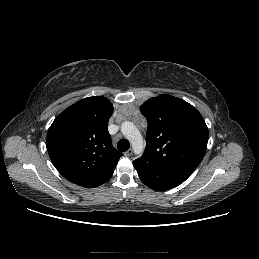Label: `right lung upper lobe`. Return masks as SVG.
Listing matches in <instances>:
<instances>
[{"instance_id": "right-lung-upper-lobe-1", "label": "right lung upper lobe", "mask_w": 259, "mask_h": 259, "mask_svg": "<svg viewBox=\"0 0 259 259\" xmlns=\"http://www.w3.org/2000/svg\"><path fill=\"white\" fill-rule=\"evenodd\" d=\"M110 101L87 97L65 109L49 128L46 147L56 169L69 181L95 188L109 180L122 156L111 143Z\"/></svg>"}]
</instances>
